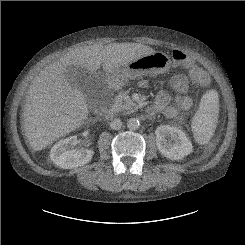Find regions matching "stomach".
<instances>
[{"label":"stomach","instance_id":"1","mask_svg":"<svg viewBox=\"0 0 245 245\" xmlns=\"http://www.w3.org/2000/svg\"><path fill=\"white\" fill-rule=\"evenodd\" d=\"M170 67V57L163 52L155 51L130 62L124 68L108 72L107 78L115 86H122L137 77L166 73Z\"/></svg>","mask_w":245,"mask_h":245}]
</instances>
